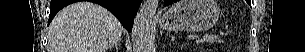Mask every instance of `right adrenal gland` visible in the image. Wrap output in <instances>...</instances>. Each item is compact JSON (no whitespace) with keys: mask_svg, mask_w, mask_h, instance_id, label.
<instances>
[{"mask_svg":"<svg viewBox=\"0 0 305 52\" xmlns=\"http://www.w3.org/2000/svg\"><path fill=\"white\" fill-rule=\"evenodd\" d=\"M120 40H121V39H120ZM120 40H119L117 43H115V44L111 47V49L116 48L117 51H118V50H119V46H120V42H121Z\"/></svg>","mask_w":305,"mask_h":52,"instance_id":"right-adrenal-gland-1","label":"right adrenal gland"}]
</instances>
